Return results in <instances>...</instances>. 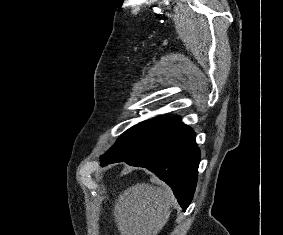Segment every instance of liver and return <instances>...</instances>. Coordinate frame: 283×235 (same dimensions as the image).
Returning <instances> with one entry per match:
<instances>
[{
	"mask_svg": "<svg viewBox=\"0 0 283 235\" xmlns=\"http://www.w3.org/2000/svg\"><path fill=\"white\" fill-rule=\"evenodd\" d=\"M174 202L171 188L163 183L127 188L113 210L120 235H157L168 222Z\"/></svg>",
	"mask_w": 283,
	"mask_h": 235,
	"instance_id": "obj_1",
	"label": "liver"
}]
</instances>
